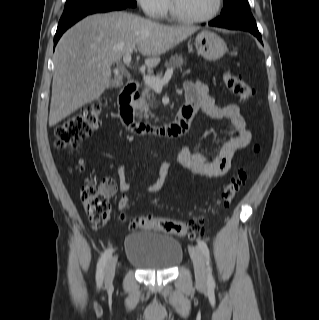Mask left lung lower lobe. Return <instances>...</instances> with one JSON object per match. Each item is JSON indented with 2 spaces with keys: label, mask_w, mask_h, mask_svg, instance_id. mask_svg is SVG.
Wrapping results in <instances>:
<instances>
[{
  "label": "left lung lower lobe",
  "mask_w": 319,
  "mask_h": 320,
  "mask_svg": "<svg viewBox=\"0 0 319 320\" xmlns=\"http://www.w3.org/2000/svg\"><path fill=\"white\" fill-rule=\"evenodd\" d=\"M209 25L227 29L248 31L256 36L259 41H261V34L259 33L256 22L251 14L232 13L227 16H220L209 22Z\"/></svg>",
  "instance_id": "obj_1"
}]
</instances>
